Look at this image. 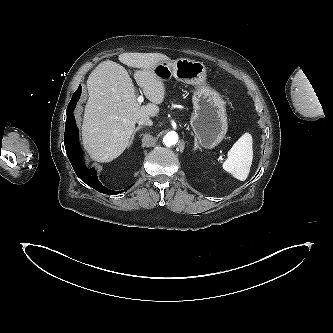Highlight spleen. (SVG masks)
Masks as SVG:
<instances>
[{
	"mask_svg": "<svg viewBox=\"0 0 333 333\" xmlns=\"http://www.w3.org/2000/svg\"><path fill=\"white\" fill-rule=\"evenodd\" d=\"M253 159L252 137L243 134L228 151L222 167L234 178L244 181L248 177Z\"/></svg>",
	"mask_w": 333,
	"mask_h": 333,
	"instance_id": "obj_1",
	"label": "spleen"
}]
</instances>
